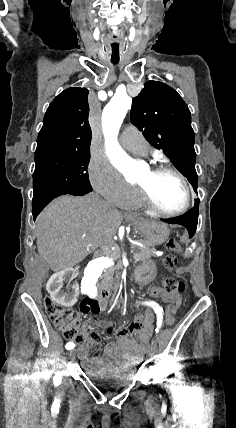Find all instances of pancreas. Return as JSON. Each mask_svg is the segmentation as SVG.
<instances>
[{
  "mask_svg": "<svg viewBox=\"0 0 236 428\" xmlns=\"http://www.w3.org/2000/svg\"><path fill=\"white\" fill-rule=\"evenodd\" d=\"M131 248L134 254L135 262H145V260H148V258H152V256H155L154 252H156L155 248H140V246H131ZM104 256H111V258H120L119 252H111V254H104ZM107 276L108 272H105V274H103V278H107Z\"/></svg>",
  "mask_w": 236,
  "mask_h": 428,
  "instance_id": "cf45deb5",
  "label": "pancreas"
}]
</instances>
